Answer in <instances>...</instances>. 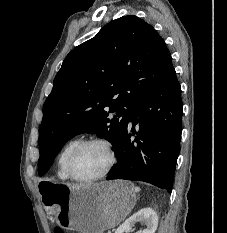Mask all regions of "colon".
Returning <instances> with one entry per match:
<instances>
[{
  "mask_svg": "<svg viewBox=\"0 0 227 233\" xmlns=\"http://www.w3.org/2000/svg\"><path fill=\"white\" fill-rule=\"evenodd\" d=\"M54 233H66L63 229L61 228H55Z\"/></svg>",
  "mask_w": 227,
  "mask_h": 233,
  "instance_id": "1",
  "label": "colon"
}]
</instances>
